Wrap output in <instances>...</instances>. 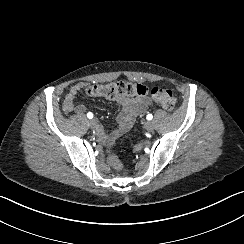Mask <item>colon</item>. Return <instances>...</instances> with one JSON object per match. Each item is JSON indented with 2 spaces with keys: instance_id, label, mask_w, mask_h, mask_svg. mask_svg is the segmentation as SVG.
Wrapping results in <instances>:
<instances>
[{
  "instance_id": "obj_1",
  "label": "colon",
  "mask_w": 244,
  "mask_h": 244,
  "mask_svg": "<svg viewBox=\"0 0 244 244\" xmlns=\"http://www.w3.org/2000/svg\"><path fill=\"white\" fill-rule=\"evenodd\" d=\"M144 88H146L144 85L121 80L111 84H92L87 87L86 94L90 97L106 99H114L121 95L139 97L144 95L142 92ZM150 91V96L156 104L160 105L167 111H172L175 108L176 99L171 90L153 87ZM134 150L136 153L141 154L144 152L145 147L143 144L138 143L135 145ZM108 162L115 170H120L123 167L122 160H120L116 154L109 155Z\"/></svg>"
}]
</instances>
